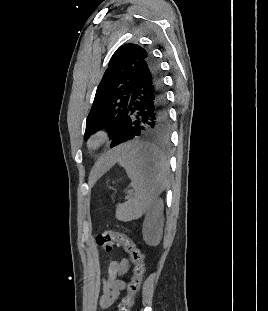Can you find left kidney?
<instances>
[{"mask_svg":"<svg viewBox=\"0 0 268 311\" xmlns=\"http://www.w3.org/2000/svg\"><path fill=\"white\" fill-rule=\"evenodd\" d=\"M162 211L163 201L157 200L143 223V240L150 246H156L159 244L162 237Z\"/></svg>","mask_w":268,"mask_h":311,"instance_id":"obj_1","label":"left kidney"}]
</instances>
